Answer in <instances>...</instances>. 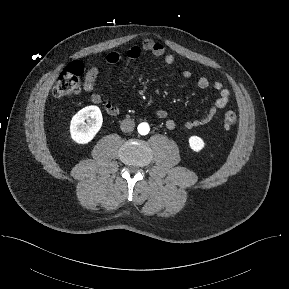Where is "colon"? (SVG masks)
I'll use <instances>...</instances> for the list:
<instances>
[{"label":"colon","mask_w":289,"mask_h":289,"mask_svg":"<svg viewBox=\"0 0 289 289\" xmlns=\"http://www.w3.org/2000/svg\"><path fill=\"white\" fill-rule=\"evenodd\" d=\"M85 67L80 62H74L67 66L60 74L53 93L57 97H70L78 94L81 90V76ZM237 121V115L234 111L228 110L223 116V125L225 128L232 127Z\"/></svg>","instance_id":"5ec220e1"}]
</instances>
